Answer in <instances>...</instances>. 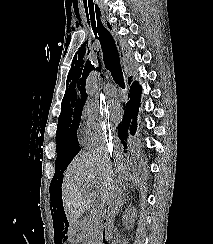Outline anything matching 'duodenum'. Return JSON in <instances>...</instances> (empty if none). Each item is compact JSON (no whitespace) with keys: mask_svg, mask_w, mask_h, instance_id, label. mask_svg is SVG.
<instances>
[{"mask_svg":"<svg viewBox=\"0 0 213 244\" xmlns=\"http://www.w3.org/2000/svg\"><path fill=\"white\" fill-rule=\"evenodd\" d=\"M103 220H104V222L106 223V224H108V222H109V213H108V210L106 209L105 211H104V214H103ZM105 239V238H104ZM104 244V243H103Z\"/></svg>","mask_w":213,"mask_h":244,"instance_id":"duodenum-1","label":"duodenum"}]
</instances>
